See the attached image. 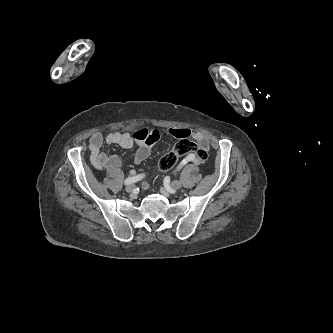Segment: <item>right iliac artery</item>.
I'll return each instance as SVG.
<instances>
[{"mask_svg": "<svg viewBox=\"0 0 333 333\" xmlns=\"http://www.w3.org/2000/svg\"><path fill=\"white\" fill-rule=\"evenodd\" d=\"M143 174L141 175H137V176H133V177H128L127 179H125L124 183L126 185H129V184H132V183H135L137 181H139L141 178H143Z\"/></svg>", "mask_w": 333, "mask_h": 333, "instance_id": "1", "label": "right iliac artery"}]
</instances>
